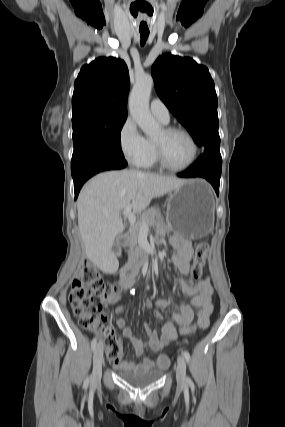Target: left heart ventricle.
<instances>
[{
  "mask_svg": "<svg viewBox=\"0 0 285 427\" xmlns=\"http://www.w3.org/2000/svg\"><path fill=\"white\" fill-rule=\"evenodd\" d=\"M154 141L162 144L165 159L172 166H183L192 156V144L184 134L174 133L166 136L161 130Z\"/></svg>",
  "mask_w": 285,
  "mask_h": 427,
  "instance_id": "b2bd125f",
  "label": "left heart ventricle"
}]
</instances>
